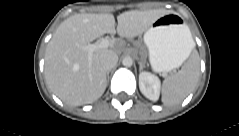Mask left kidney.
I'll list each match as a JSON object with an SVG mask.
<instances>
[{"instance_id": "obj_1", "label": "left kidney", "mask_w": 239, "mask_h": 136, "mask_svg": "<svg viewBox=\"0 0 239 136\" xmlns=\"http://www.w3.org/2000/svg\"><path fill=\"white\" fill-rule=\"evenodd\" d=\"M139 88L141 93L152 101H157L160 95L161 82L160 79L147 71L139 74Z\"/></svg>"}]
</instances>
